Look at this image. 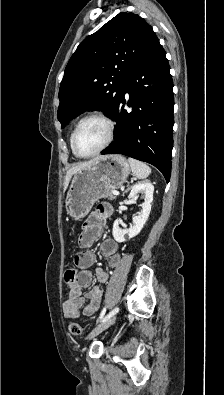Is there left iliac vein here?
I'll list each match as a JSON object with an SVG mask.
<instances>
[{"label":"left iliac vein","instance_id":"1","mask_svg":"<svg viewBox=\"0 0 224 395\" xmlns=\"http://www.w3.org/2000/svg\"><path fill=\"white\" fill-rule=\"evenodd\" d=\"M116 316L113 315L112 317L104 320L102 323L98 324L89 334L88 339H93L98 334L103 332L105 329L109 328L115 322Z\"/></svg>","mask_w":224,"mask_h":395}]
</instances>
